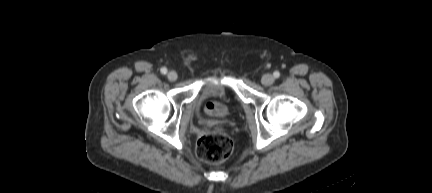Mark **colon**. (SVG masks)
<instances>
[{
  "label": "colon",
  "instance_id": "colon-1",
  "mask_svg": "<svg viewBox=\"0 0 432 193\" xmlns=\"http://www.w3.org/2000/svg\"><path fill=\"white\" fill-rule=\"evenodd\" d=\"M233 140L224 134H207L197 144V156L208 163H220L233 152Z\"/></svg>",
  "mask_w": 432,
  "mask_h": 193
}]
</instances>
